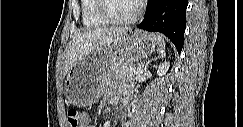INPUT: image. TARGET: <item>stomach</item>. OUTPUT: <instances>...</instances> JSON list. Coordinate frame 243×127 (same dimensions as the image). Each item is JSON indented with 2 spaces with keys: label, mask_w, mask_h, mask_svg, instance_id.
I'll list each match as a JSON object with an SVG mask.
<instances>
[{
  "label": "stomach",
  "mask_w": 243,
  "mask_h": 127,
  "mask_svg": "<svg viewBox=\"0 0 243 127\" xmlns=\"http://www.w3.org/2000/svg\"><path fill=\"white\" fill-rule=\"evenodd\" d=\"M154 35L128 29L100 51L74 65L68 72L64 91L67 101L78 107L96 103L111 79L110 72L122 63H134L153 50Z\"/></svg>",
  "instance_id": "stomach-1"
}]
</instances>
